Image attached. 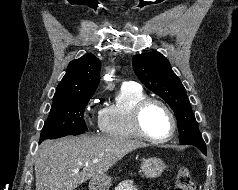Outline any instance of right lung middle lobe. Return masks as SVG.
I'll use <instances>...</instances> for the list:
<instances>
[{"instance_id":"1","label":"right lung middle lobe","mask_w":238,"mask_h":190,"mask_svg":"<svg viewBox=\"0 0 238 190\" xmlns=\"http://www.w3.org/2000/svg\"><path fill=\"white\" fill-rule=\"evenodd\" d=\"M93 94H80L74 97L53 101L49 116L40 135V142L67 134L87 130L83 120L84 110Z\"/></svg>"}]
</instances>
